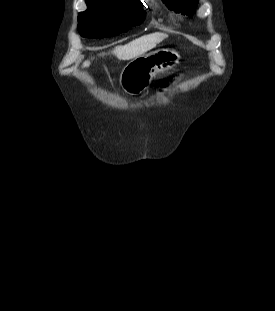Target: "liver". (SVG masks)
Returning <instances> with one entry per match:
<instances>
[{
    "label": "liver",
    "mask_w": 275,
    "mask_h": 311,
    "mask_svg": "<svg viewBox=\"0 0 275 311\" xmlns=\"http://www.w3.org/2000/svg\"><path fill=\"white\" fill-rule=\"evenodd\" d=\"M168 35L164 33H152L137 38L126 45L117 46L111 53L120 60H131L137 58L162 42ZM105 55V53L101 54ZM90 61H85L83 67H89Z\"/></svg>",
    "instance_id": "6515ba94"
}]
</instances>
